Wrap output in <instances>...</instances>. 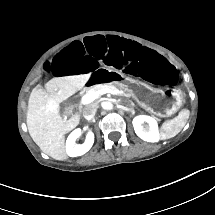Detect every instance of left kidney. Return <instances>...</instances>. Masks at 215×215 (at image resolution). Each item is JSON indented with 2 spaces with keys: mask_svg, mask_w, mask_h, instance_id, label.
<instances>
[{
  "mask_svg": "<svg viewBox=\"0 0 215 215\" xmlns=\"http://www.w3.org/2000/svg\"><path fill=\"white\" fill-rule=\"evenodd\" d=\"M147 122L150 126V131H147L142 125L143 122ZM133 127L135 133L143 140L147 142H158L160 140L159 126L155 118L147 115H139L133 119ZM144 134V136L141 135Z\"/></svg>",
  "mask_w": 215,
  "mask_h": 215,
  "instance_id": "5707ae66",
  "label": "left kidney"
}]
</instances>
